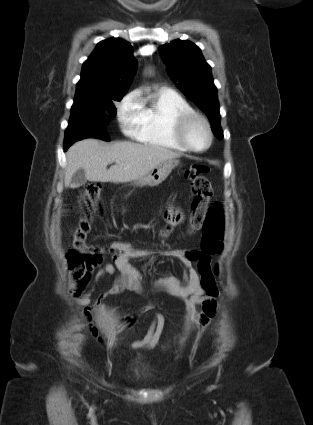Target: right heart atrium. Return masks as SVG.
I'll return each instance as SVG.
<instances>
[{
    "instance_id": "obj_1",
    "label": "right heart atrium",
    "mask_w": 313,
    "mask_h": 425,
    "mask_svg": "<svg viewBox=\"0 0 313 425\" xmlns=\"http://www.w3.org/2000/svg\"><path fill=\"white\" fill-rule=\"evenodd\" d=\"M140 113L141 103L137 92L124 96L117 107V117L125 133L134 135L140 123Z\"/></svg>"
}]
</instances>
